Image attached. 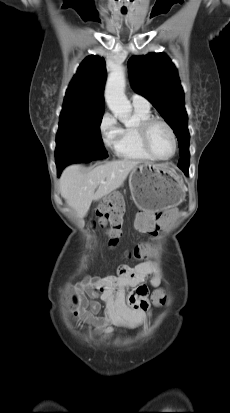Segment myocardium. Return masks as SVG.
<instances>
[{
	"mask_svg": "<svg viewBox=\"0 0 230 413\" xmlns=\"http://www.w3.org/2000/svg\"><path fill=\"white\" fill-rule=\"evenodd\" d=\"M156 123H160L164 125L168 129L171 135V138H172L173 151L170 156L165 157V158L156 155L151 149L150 144H149V131L152 125ZM138 133H139V138H140L143 149L152 159L158 160V161H169L176 155L177 150H178L177 136L171 124L167 122L166 120L159 118V117H149L148 119L139 123Z\"/></svg>",
	"mask_w": 230,
	"mask_h": 413,
	"instance_id": "1",
	"label": "myocardium"
}]
</instances>
